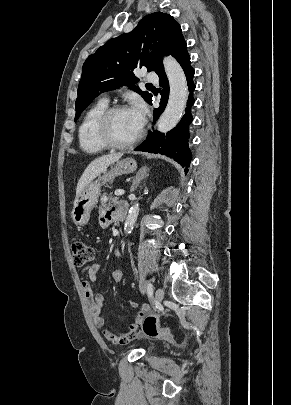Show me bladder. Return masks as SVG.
Returning a JSON list of instances; mask_svg holds the SVG:
<instances>
[{
    "label": "bladder",
    "mask_w": 291,
    "mask_h": 405,
    "mask_svg": "<svg viewBox=\"0 0 291 405\" xmlns=\"http://www.w3.org/2000/svg\"><path fill=\"white\" fill-rule=\"evenodd\" d=\"M147 350H148V351H153V350H154V345L149 344V345L147 346Z\"/></svg>",
    "instance_id": "bladder-1"
}]
</instances>
